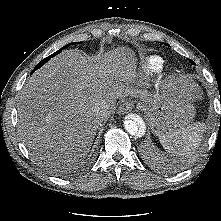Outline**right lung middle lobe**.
Here are the masks:
<instances>
[{
  "label": "right lung middle lobe",
  "mask_w": 221,
  "mask_h": 221,
  "mask_svg": "<svg viewBox=\"0 0 221 221\" xmlns=\"http://www.w3.org/2000/svg\"><path fill=\"white\" fill-rule=\"evenodd\" d=\"M77 42H74V43H70V44H67L65 45L63 48H61L60 50L56 51L55 53L51 54L50 56L46 57L45 59H43L42 61H40L34 68L33 71H35L36 69L40 68L43 64H45L50 58L54 57L55 55L59 54L62 49L70 46L71 44H76Z\"/></svg>",
  "instance_id": "dd1d6c3e"
}]
</instances>
